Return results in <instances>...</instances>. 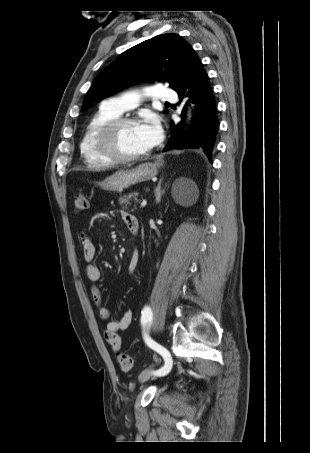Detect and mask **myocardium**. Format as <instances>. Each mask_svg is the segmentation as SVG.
<instances>
[{"mask_svg": "<svg viewBox=\"0 0 310 453\" xmlns=\"http://www.w3.org/2000/svg\"><path fill=\"white\" fill-rule=\"evenodd\" d=\"M130 124H138V119L134 117L118 116L105 124L96 134L95 147L97 151L107 160L117 164H127L141 160L149 156L150 152L124 156L119 154L114 146L115 138L121 128Z\"/></svg>", "mask_w": 310, "mask_h": 453, "instance_id": "f54148a6", "label": "myocardium"}]
</instances>
